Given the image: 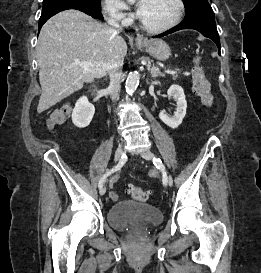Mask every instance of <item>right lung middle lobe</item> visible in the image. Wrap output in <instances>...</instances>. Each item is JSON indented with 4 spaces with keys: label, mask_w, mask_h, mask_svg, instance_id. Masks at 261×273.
<instances>
[{
    "label": "right lung middle lobe",
    "mask_w": 261,
    "mask_h": 273,
    "mask_svg": "<svg viewBox=\"0 0 261 273\" xmlns=\"http://www.w3.org/2000/svg\"><path fill=\"white\" fill-rule=\"evenodd\" d=\"M70 0H44L43 1V9L42 13H51L61 8H65V2ZM85 3L94 8L100 9V1L101 0H84Z\"/></svg>",
    "instance_id": "1"
}]
</instances>
